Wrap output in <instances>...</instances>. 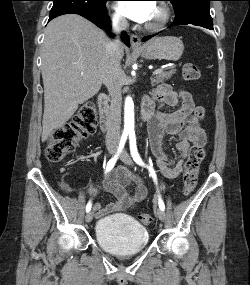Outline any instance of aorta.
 <instances>
[{
  "mask_svg": "<svg viewBox=\"0 0 250 285\" xmlns=\"http://www.w3.org/2000/svg\"><path fill=\"white\" fill-rule=\"evenodd\" d=\"M134 133V103L131 97H126L124 106V135Z\"/></svg>",
  "mask_w": 250,
  "mask_h": 285,
  "instance_id": "762f6f07",
  "label": "aorta"
}]
</instances>
